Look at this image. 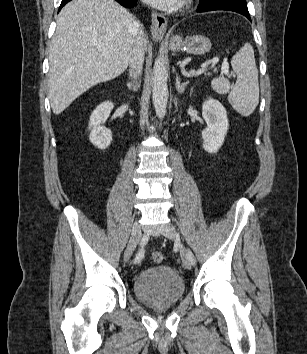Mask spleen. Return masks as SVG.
Here are the masks:
<instances>
[{
	"mask_svg": "<svg viewBox=\"0 0 307 354\" xmlns=\"http://www.w3.org/2000/svg\"><path fill=\"white\" fill-rule=\"evenodd\" d=\"M231 66L237 75L236 83L231 85L227 79L217 78L212 81V87L217 93H229L231 106L242 116H249L259 103L258 70L249 43L232 57Z\"/></svg>",
	"mask_w": 307,
	"mask_h": 354,
	"instance_id": "3e777b00",
	"label": "spleen"
}]
</instances>
